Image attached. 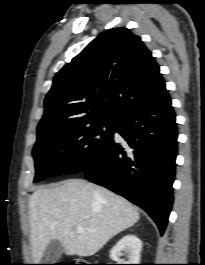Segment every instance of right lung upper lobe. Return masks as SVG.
Listing matches in <instances>:
<instances>
[{
  "mask_svg": "<svg viewBox=\"0 0 205 265\" xmlns=\"http://www.w3.org/2000/svg\"><path fill=\"white\" fill-rule=\"evenodd\" d=\"M164 90L159 65L140 37L127 28H113L55 75L37 131L116 122L149 105Z\"/></svg>",
  "mask_w": 205,
  "mask_h": 265,
  "instance_id": "cb5924a9",
  "label": "right lung upper lobe"
}]
</instances>
